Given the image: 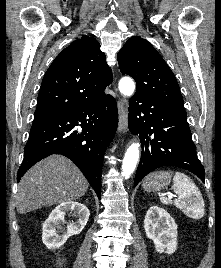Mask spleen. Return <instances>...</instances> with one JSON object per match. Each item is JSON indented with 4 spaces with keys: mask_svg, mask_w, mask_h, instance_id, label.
<instances>
[{
    "mask_svg": "<svg viewBox=\"0 0 221 268\" xmlns=\"http://www.w3.org/2000/svg\"><path fill=\"white\" fill-rule=\"evenodd\" d=\"M172 188L178 195V199L172 201L171 197H160L163 204H174L194 219H200L204 216L205 209L202 195L190 177L182 172H175Z\"/></svg>",
    "mask_w": 221,
    "mask_h": 268,
    "instance_id": "1",
    "label": "spleen"
}]
</instances>
